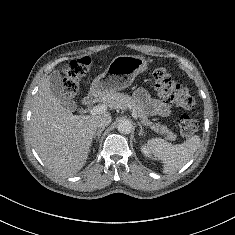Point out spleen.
<instances>
[{
  "label": "spleen",
  "instance_id": "spleen-1",
  "mask_svg": "<svg viewBox=\"0 0 235 235\" xmlns=\"http://www.w3.org/2000/svg\"><path fill=\"white\" fill-rule=\"evenodd\" d=\"M200 137L195 135L182 144L173 145L161 138L148 141L151 152L163 163V172L172 173L182 168L194 155L200 145Z\"/></svg>",
  "mask_w": 235,
  "mask_h": 235
}]
</instances>
